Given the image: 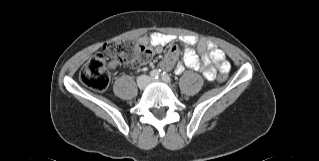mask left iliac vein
<instances>
[{"label": "left iliac vein", "instance_id": "4c4485c4", "mask_svg": "<svg viewBox=\"0 0 319 161\" xmlns=\"http://www.w3.org/2000/svg\"><path fill=\"white\" fill-rule=\"evenodd\" d=\"M151 81L154 82V81H156V80H155V79H152Z\"/></svg>", "mask_w": 319, "mask_h": 161}]
</instances>
